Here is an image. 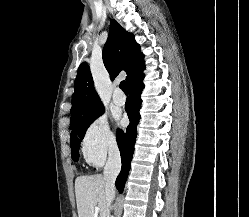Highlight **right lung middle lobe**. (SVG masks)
<instances>
[{"label": "right lung middle lobe", "instance_id": "1", "mask_svg": "<svg viewBox=\"0 0 249 217\" xmlns=\"http://www.w3.org/2000/svg\"><path fill=\"white\" fill-rule=\"evenodd\" d=\"M103 112L104 107L102 105L83 115L79 119L70 122V129L72 130V133L70 134V144L74 161H78L80 141L83 139L87 128L96 118L102 115Z\"/></svg>", "mask_w": 249, "mask_h": 217}]
</instances>
